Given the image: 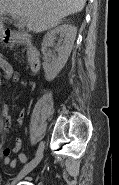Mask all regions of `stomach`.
Instances as JSON below:
<instances>
[{
    "label": "stomach",
    "instance_id": "stomach-1",
    "mask_svg": "<svg viewBox=\"0 0 119 185\" xmlns=\"http://www.w3.org/2000/svg\"><path fill=\"white\" fill-rule=\"evenodd\" d=\"M5 37L4 31L0 30V40H3Z\"/></svg>",
    "mask_w": 119,
    "mask_h": 185
}]
</instances>
